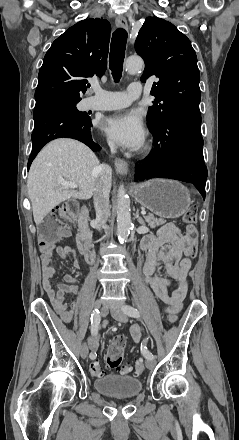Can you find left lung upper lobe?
Wrapping results in <instances>:
<instances>
[{
  "instance_id": "5c2ea615",
  "label": "left lung upper lobe",
  "mask_w": 239,
  "mask_h": 440,
  "mask_svg": "<svg viewBox=\"0 0 239 440\" xmlns=\"http://www.w3.org/2000/svg\"><path fill=\"white\" fill-rule=\"evenodd\" d=\"M135 49L145 61L141 81L146 82L150 76L159 78L151 89L156 99L147 115L150 130L158 128L163 119L174 112L199 110L197 56L183 33L166 20L148 17L139 30Z\"/></svg>"
}]
</instances>
